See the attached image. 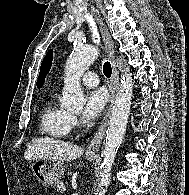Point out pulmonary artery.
Instances as JSON below:
<instances>
[{"label":"pulmonary artery","mask_w":189,"mask_h":195,"mask_svg":"<svg viewBox=\"0 0 189 195\" xmlns=\"http://www.w3.org/2000/svg\"><path fill=\"white\" fill-rule=\"evenodd\" d=\"M82 82L89 87H96L99 84L98 76L93 72H86L82 76Z\"/></svg>","instance_id":"obj_1"}]
</instances>
